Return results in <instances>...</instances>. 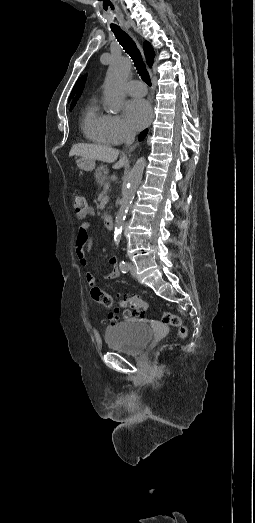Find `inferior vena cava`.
<instances>
[{"label": "inferior vena cava", "instance_id": "602c4592", "mask_svg": "<svg viewBox=\"0 0 255 523\" xmlns=\"http://www.w3.org/2000/svg\"><path fill=\"white\" fill-rule=\"evenodd\" d=\"M136 132H133V130H127L126 132V144L127 146H130V144H133L135 140Z\"/></svg>", "mask_w": 255, "mask_h": 523}]
</instances>
